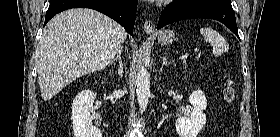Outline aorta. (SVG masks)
<instances>
[{
	"mask_svg": "<svg viewBox=\"0 0 280 137\" xmlns=\"http://www.w3.org/2000/svg\"><path fill=\"white\" fill-rule=\"evenodd\" d=\"M136 95L140 110L145 111L150 97V74L144 67H141L137 74Z\"/></svg>",
	"mask_w": 280,
	"mask_h": 137,
	"instance_id": "1",
	"label": "aorta"
}]
</instances>
